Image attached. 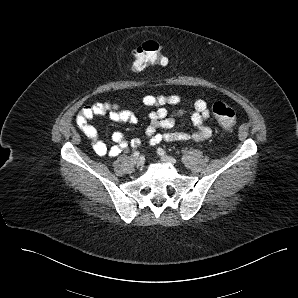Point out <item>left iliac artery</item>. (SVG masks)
Returning a JSON list of instances; mask_svg holds the SVG:
<instances>
[{
	"label": "left iliac artery",
	"instance_id": "left-iliac-artery-1",
	"mask_svg": "<svg viewBox=\"0 0 298 298\" xmlns=\"http://www.w3.org/2000/svg\"><path fill=\"white\" fill-rule=\"evenodd\" d=\"M157 153H158L159 155H166L165 150H163L162 148H158V149H157Z\"/></svg>",
	"mask_w": 298,
	"mask_h": 298
}]
</instances>
